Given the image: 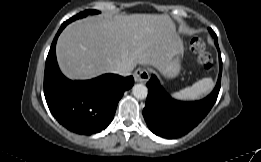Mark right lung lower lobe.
<instances>
[{"label": "right lung lower lobe", "mask_w": 261, "mask_h": 162, "mask_svg": "<svg viewBox=\"0 0 261 162\" xmlns=\"http://www.w3.org/2000/svg\"><path fill=\"white\" fill-rule=\"evenodd\" d=\"M67 20L58 30L48 53L44 73V94L56 120L68 130L91 135L104 130L112 121L123 93L134 84L132 76L105 74L92 80L71 81L59 70L55 46Z\"/></svg>", "instance_id": "right-lung-lower-lobe-1"}]
</instances>
